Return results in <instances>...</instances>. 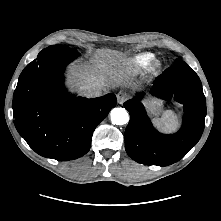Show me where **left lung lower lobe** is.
I'll return each mask as SVG.
<instances>
[{"instance_id": "0a47b994", "label": "left lung lower lobe", "mask_w": 221, "mask_h": 221, "mask_svg": "<svg viewBox=\"0 0 221 221\" xmlns=\"http://www.w3.org/2000/svg\"><path fill=\"white\" fill-rule=\"evenodd\" d=\"M150 93L165 100L174 98L183 104L181 129L171 135L152 126L143 104V94L123 105L130 113L125 130V149L135 161L145 165L167 166L180 160L200 139L206 116V100L198 75L186 64H174L154 82Z\"/></svg>"}]
</instances>
